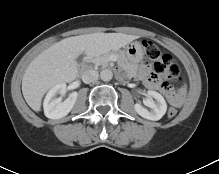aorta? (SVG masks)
I'll return each mask as SVG.
<instances>
[{"label": "aorta", "instance_id": "762f6f07", "mask_svg": "<svg viewBox=\"0 0 219 174\" xmlns=\"http://www.w3.org/2000/svg\"><path fill=\"white\" fill-rule=\"evenodd\" d=\"M113 77V73L109 69H104L100 72V78L103 81H110Z\"/></svg>", "mask_w": 219, "mask_h": 174}]
</instances>
